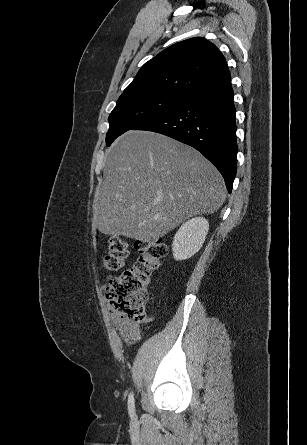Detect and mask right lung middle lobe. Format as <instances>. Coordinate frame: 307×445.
Wrapping results in <instances>:
<instances>
[{"label":"right lung middle lobe","mask_w":307,"mask_h":445,"mask_svg":"<svg viewBox=\"0 0 307 445\" xmlns=\"http://www.w3.org/2000/svg\"><path fill=\"white\" fill-rule=\"evenodd\" d=\"M184 99L159 94L121 95L109 116L107 146L124 132L170 111Z\"/></svg>","instance_id":"dd1d6c3e"}]
</instances>
